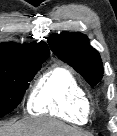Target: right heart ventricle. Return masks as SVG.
Returning a JSON list of instances; mask_svg holds the SVG:
<instances>
[{"instance_id":"obj_1","label":"right heart ventricle","mask_w":117,"mask_h":136,"mask_svg":"<svg viewBox=\"0 0 117 136\" xmlns=\"http://www.w3.org/2000/svg\"><path fill=\"white\" fill-rule=\"evenodd\" d=\"M33 114H48L83 124L86 122L88 98L74 73L65 66H54L34 84L27 102Z\"/></svg>"}]
</instances>
